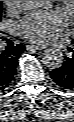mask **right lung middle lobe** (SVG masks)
I'll use <instances>...</instances> for the list:
<instances>
[{
	"label": "right lung middle lobe",
	"mask_w": 74,
	"mask_h": 122,
	"mask_svg": "<svg viewBox=\"0 0 74 122\" xmlns=\"http://www.w3.org/2000/svg\"><path fill=\"white\" fill-rule=\"evenodd\" d=\"M1 14H2V1H0V17H1Z\"/></svg>",
	"instance_id": "obj_1"
}]
</instances>
